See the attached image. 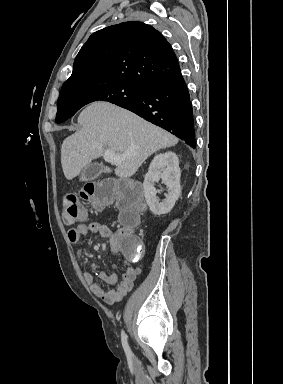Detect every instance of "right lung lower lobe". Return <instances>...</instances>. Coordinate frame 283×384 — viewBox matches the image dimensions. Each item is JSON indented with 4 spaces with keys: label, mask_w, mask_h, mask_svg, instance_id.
<instances>
[{
    "label": "right lung lower lobe",
    "mask_w": 283,
    "mask_h": 384,
    "mask_svg": "<svg viewBox=\"0 0 283 384\" xmlns=\"http://www.w3.org/2000/svg\"><path fill=\"white\" fill-rule=\"evenodd\" d=\"M116 105L196 147L193 109L181 72L152 82L140 97Z\"/></svg>",
    "instance_id": "98d812e1"
}]
</instances>
